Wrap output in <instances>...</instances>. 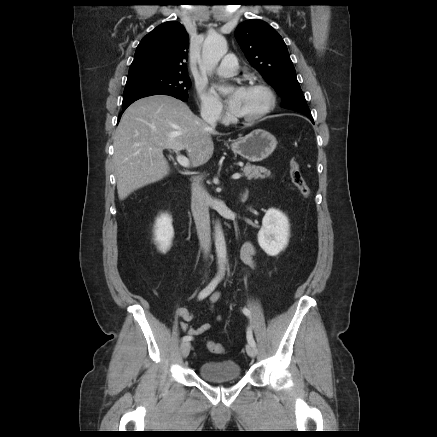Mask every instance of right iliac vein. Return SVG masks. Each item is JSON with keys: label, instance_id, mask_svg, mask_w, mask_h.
<instances>
[{"label": "right iliac vein", "instance_id": "1", "mask_svg": "<svg viewBox=\"0 0 437 437\" xmlns=\"http://www.w3.org/2000/svg\"><path fill=\"white\" fill-rule=\"evenodd\" d=\"M180 350H181L182 357L186 358L189 355L190 350H191L190 342H188V341L183 342L181 344Z\"/></svg>", "mask_w": 437, "mask_h": 437}]
</instances>
